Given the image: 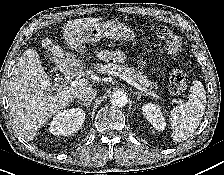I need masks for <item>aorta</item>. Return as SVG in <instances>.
<instances>
[{"mask_svg":"<svg viewBox=\"0 0 224 175\" xmlns=\"http://www.w3.org/2000/svg\"><path fill=\"white\" fill-rule=\"evenodd\" d=\"M110 102L114 107H123L128 103V97L124 91H116L111 95Z\"/></svg>","mask_w":224,"mask_h":175,"instance_id":"1","label":"aorta"}]
</instances>
